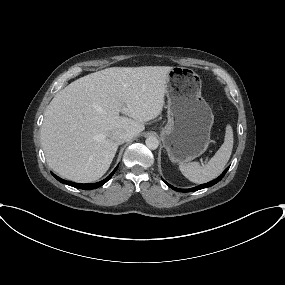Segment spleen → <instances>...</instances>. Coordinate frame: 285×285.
Wrapping results in <instances>:
<instances>
[{
  "mask_svg": "<svg viewBox=\"0 0 285 285\" xmlns=\"http://www.w3.org/2000/svg\"><path fill=\"white\" fill-rule=\"evenodd\" d=\"M233 130L230 125L226 126L224 143L206 165H199L197 162L188 164L181 163V173L191 182L202 184L216 178L223 171L230 159L233 149Z\"/></svg>",
  "mask_w": 285,
  "mask_h": 285,
  "instance_id": "3e777b00",
  "label": "spleen"
}]
</instances>
